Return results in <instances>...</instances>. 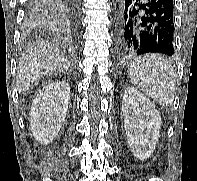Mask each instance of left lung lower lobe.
I'll return each instance as SVG.
<instances>
[{"instance_id":"left-lung-lower-lobe-1","label":"left lung lower lobe","mask_w":197,"mask_h":181,"mask_svg":"<svg viewBox=\"0 0 197 181\" xmlns=\"http://www.w3.org/2000/svg\"><path fill=\"white\" fill-rule=\"evenodd\" d=\"M173 0H124L116 39L121 59L146 53L174 54Z\"/></svg>"}]
</instances>
